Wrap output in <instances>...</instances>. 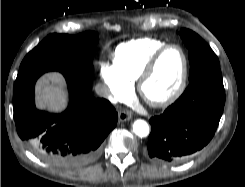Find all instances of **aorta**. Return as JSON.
Returning a JSON list of instances; mask_svg holds the SVG:
<instances>
[{
  "label": "aorta",
  "instance_id": "aorta-1",
  "mask_svg": "<svg viewBox=\"0 0 245 187\" xmlns=\"http://www.w3.org/2000/svg\"><path fill=\"white\" fill-rule=\"evenodd\" d=\"M133 132L139 137H146L149 134V126L144 120H136L133 125Z\"/></svg>",
  "mask_w": 245,
  "mask_h": 187
}]
</instances>
